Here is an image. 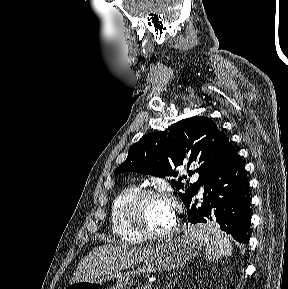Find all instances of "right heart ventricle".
Here are the masks:
<instances>
[{
	"instance_id": "right-heart-ventricle-1",
	"label": "right heart ventricle",
	"mask_w": 288,
	"mask_h": 289,
	"mask_svg": "<svg viewBox=\"0 0 288 289\" xmlns=\"http://www.w3.org/2000/svg\"><path fill=\"white\" fill-rule=\"evenodd\" d=\"M139 190L140 188L136 184H129L117 193L111 204L110 221L112 233L124 244L135 245L143 241L128 228L125 221V207Z\"/></svg>"
}]
</instances>
